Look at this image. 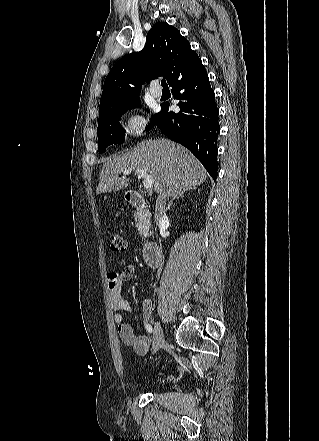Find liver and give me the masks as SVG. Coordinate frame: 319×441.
I'll list each match as a JSON object with an SVG mask.
<instances>
[{"label":"liver","mask_w":319,"mask_h":441,"mask_svg":"<svg viewBox=\"0 0 319 441\" xmlns=\"http://www.w3.org/2000/svg\"><path fill=\"white\" fill-rule=\"evenodd\" d=\"M126 169H145L150 173L154 190L162 200L178 196L187 187L201 185L207 178L203 166L185 147L168 139H151L132 151L109 157L102 167L96 193L127 187L130 179L118 177Z\"/></svg>","instance_id":"obj_1"}]
</instances>
